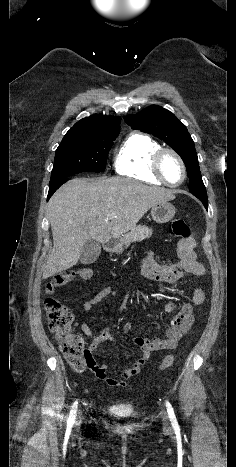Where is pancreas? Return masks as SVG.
Listing matches in <instances>:
<instances>
[{
    "label": "pancreas",
    "mask_w": 236,
    "mask_h": 467,
    "mask_svg": "<svg viewBox=\"0 0 236 467\" xmlns=\"http://www.w3.org/2000/svg\"><path fill=\"white\" fill-rule=\"evenodd\" d=\"M152 232V229L148 228L147 226H135L130 230V232L119 239V245H125L127 247L131 243L140 242L146 238H149L152 235Z\"/></svg>",
    "instance_id": "cf45deb5"
}]
</instances>
